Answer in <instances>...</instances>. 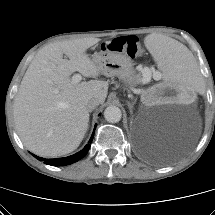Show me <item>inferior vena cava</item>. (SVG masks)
<instances>
[{"label":"inferior vena cava","mask_w":215,"mask_h":215,"mask_svg":"<svg viewBox=\"0 0 215 215\" xmlns=\"http://www.w3.org/2000/svg\"><path fill=\"white\" fill-rule=\"evenodd\" d=\"M100 104V100L98 98H92L86 103V107L89 111H92Z\"/></svg>","instance_id":"1"}]
</instances>
